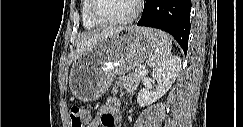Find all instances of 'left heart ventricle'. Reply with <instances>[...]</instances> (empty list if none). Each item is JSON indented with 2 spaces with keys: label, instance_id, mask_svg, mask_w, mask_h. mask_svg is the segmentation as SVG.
<instances>
[{
  "label": "left heart ventricle",
  "instance_id": "left-heart-ventricle-1",
  "mask_svg": "<svg viewBox=\"0 0 243 127\" xmlns=\"http://www.w3.org/2000/svg\"><path fill=\"white\" fill-rule=\"evenodd\" d=\"M134 8V0H98L96 12L101 19L112 21L129 16Z\"/></svg>",
  "mask_w": 243,
  "mask_h": 127
}]
</instances>
